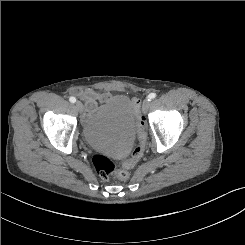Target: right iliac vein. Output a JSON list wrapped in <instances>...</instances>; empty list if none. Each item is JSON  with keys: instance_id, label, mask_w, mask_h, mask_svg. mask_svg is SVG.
Returning <instances> with one entry per match:
<instances>
[{"instance_id": "right-iliac-vein-1", "label": "right iliac vein", "mask_w": 245, "mask_h": 245, "mask_svg": "<svg viewBox=\"0 0 245 245\" xmlns=\"http://www.w3.org/2000/svg\"><path fill=\"white\" fill-rule=\"evenodd\" d=\"M76 108L78 109L79 112L83 111V104L80 101H77L75 103Z\"/></svg>"}]
</instances>
